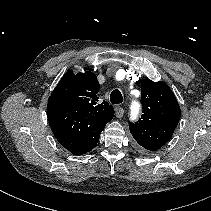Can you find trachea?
I'll return each mask as SVG.
<instances>
[{
  "mask_svg": "<svg viewBox=\"0 0 211 211\" xmlns=\"http://www.w3.org/2000/svg\"><path fill=\"white\" fill-rule=\"evenodd\" d=\"M110 101L112 104H121L123 102V96L117 89L113 90L110 94Z\"/></svg>",
  "mask_w": 211,
  "mask_h": 211,
  "instance_id": "trachea-1",
  "label": "trachea"
}]
</instances>
